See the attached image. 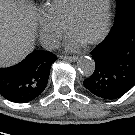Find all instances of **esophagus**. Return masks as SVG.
I'll return each mask as SVG.
<instances>
[{"label": "esophagus", "instance_id": "1", "mask_svg": "<svg viewBox=\"0 0 135 135\" xmlns=\"http://www.w3.org/2000/svg\"><path fill=\"white\" fill-rule=\"evenodd\" d=\"M61 58L69 62H75L78 59L77 56H61Z\"/></svg>", "mask_w": 135, "mask_h": 135}]
</instances>
